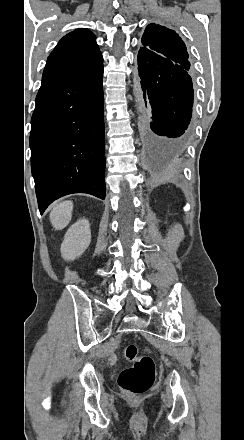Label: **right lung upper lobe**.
I'll list each match as a JSON object with an SVG mask.
<instances>
[{
    "instance_id": "obj_1",
    "label": "right lung upper lobe",
    "mask_w": 244,
    "mask_h": 440,
    "mask_svg": "<svg viewBox=\"0 0 244 440\" xmlns=\"http://www.w3.org/2000/svg\"><path fill=\"white\" fill-rule=\"evenodd\" d=\"M102 62L95 35L85 28L77 29L64 36L49 55L43 77L92 68Z\"/></svg>"
}]
</instances>
